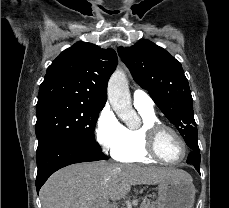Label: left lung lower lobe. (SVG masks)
Here are the masks:
<instances>
[{
    "instance_id": "obj_1",
    "label": "left lung lower lobe",
    "mask_w": 229,
    "mask_h": 208,
    "mask_svg": "<svg viewBox=\"0 0 229 208\" xmlns=\"http://www.w3.org/2000/svg\"><path fill=\"white\" fill-rule=\"evenodd\" d=\"M198 135L186 136L184 140L187 146L192 150L187 158V163L192 164L195 169L200 173V150L197 142Z\"/></svg>"
}]
</instances>
